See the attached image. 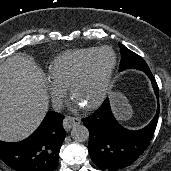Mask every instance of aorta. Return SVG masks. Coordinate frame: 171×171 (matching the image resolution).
<instances>
[{"instance_id": "obj_1", "label": "aorta", "mask_w": 171, "mask_h": 171, "mask_svg": "<svg viewBox=\"0 0 171 171\" xmlns=\"http://www.w3.org/2000/svg\"><path fill=\"white\" fill-rule=\"evenodd\" d=\"M71 137L76 142H85L89 138V130L83 124H76L71 130Z\"/></svg>"}]
</instances>
